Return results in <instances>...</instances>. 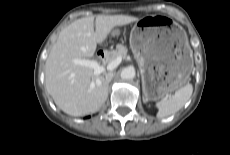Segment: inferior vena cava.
<instances>
[{
	"instance_id": "inferior-vena-cava-1",
	"label": "inferior vena cava",
	"mask_w": 230,
	"mask_h": 155,
	"mask_svg": "<svg viewBox=\"0 0 230 155\" xmlns=\"http://www.w3.org/2000/svg\"><path fill=\"white\" fill-rule=\"evenodd\" d=\"M112 78H113V73L112 72L106 73L105 79H106L107 82H110L112 80Z\"/></svg>"
}]
</instances>
